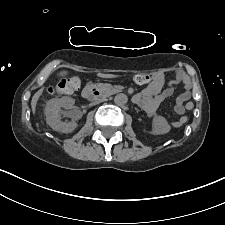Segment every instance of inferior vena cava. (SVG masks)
I'll list each match as a JSON object with an SVG mask.
<instances>
[{
	"label": "inferior vena cava",
	"instance_id": "obj_1",
	"mask_svg": "<svg viewBox=\"0 0 225 225\" xmlns=\"http://www.w3.org/2000/svg\"><path fill=\"white\" fill-rule=\"evenodd\" d=\"M103 100H104L103 98H97L92 102V104L93 105L98 104V103L102 102Z\"/></svg>",
	"mask_w": 225,
	"mask_h": 225
}]
</instances>
